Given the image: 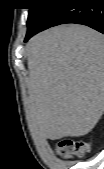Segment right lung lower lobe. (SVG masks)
Masks as SVG:
<instances>
[{
    "instance_id": "98d812e1",
    "label": "right lung lower lobe",
    "mask_w": 104,
    "mask_h": 169,
    "mask_svg": "<svg viewBox=\"0 0 104 169\" xmlns=\"http://www.w3.org/2000/svg\"><path fill=\"white\" fill-rule=\"evenodd\" d=\"M55 10L36 30L27 33L25 41L49 27L77 23L104 33V0H55Z\"/></svg>"
}]
</instances>
